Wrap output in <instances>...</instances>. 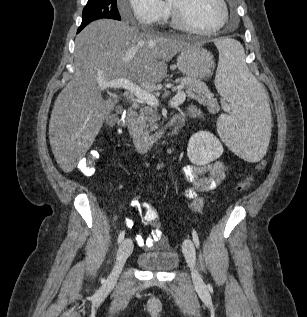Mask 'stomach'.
Returning <instances> with one entry per match:
<instances>
[{
  "mask_svg": "<svg viewBox=\"0 0 307 317\" xmlns=\"http://www.w3.org/2000/svg\"><path fill=\"white\" fill-rule=\"evenodd\" d=\"M213 65L212 54L197 44L185 47L177 57L179 71L194 79L209 78Z\"/></svg>",
  "mask_w": 307,
  "mask_h": 317,
  "instance_id": "1",
  "label": "stomach"
}]
</instances>
